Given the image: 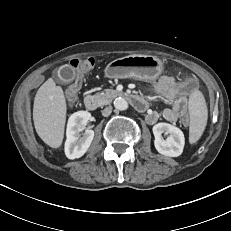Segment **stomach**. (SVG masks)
<instances>
[{"instance_id":"1","label":"stomach","mask_w":231,"mask_h":231,"mask_svg":"<svg viewBox=\"0 0 231 231\" xmlns=\"http://www.w3.org/2000/svg\"><path fill=\"white\" fill-rule=\"evenodd\" d=\"M162 71L163 63L156 56L128 55L110 62L105 68V75L108 78H133L152 82Z\"/></svg>"}]
</instances>
